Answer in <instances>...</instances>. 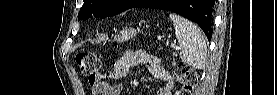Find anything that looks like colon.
<instances>
[{"mask_svg": "<svg viewBox=\"0 0 277 95\" xmlns=\"http://www.w3.org/2000/svg\"><path fill=\"white\" fill-rule=\"evenodd\" d=\"M76 63L80 72L89 80L96 77L97 72L101 69L102 60L95 53H80L76 56ZM176 76L181 80L182 87L177 94H191L197 84V75L193 69L184 65L177 64L175 66Z\"/></svg>", "mask_w": 277, "mask_h": 95, "instance_id": "1", "label": "colon"}]
</instances>
